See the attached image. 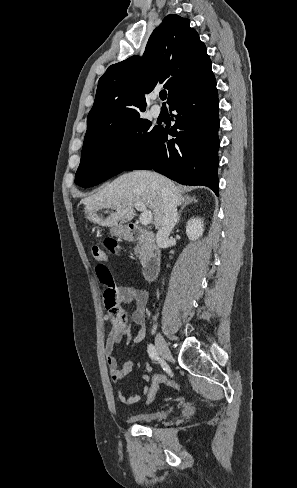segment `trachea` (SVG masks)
Segmentation results:
<instances>
[{
    "mask_svg": "<svg viewBox=\"0 0 297 488\" xmlns=\"http://www.w3.org/2000/svg\"><path fill=\"white\" fill-rule=\"evenodd\" d=\"M159 96H160V99H161V100H165V99H166V97H167L166 90H162V91L160 92V95H159Z\"/></svg>",
    "mask_w": 297,
    "mask_h": 488,
    "instance_id": "3493384b",
    "label": "trachea"
}]
</instances>
